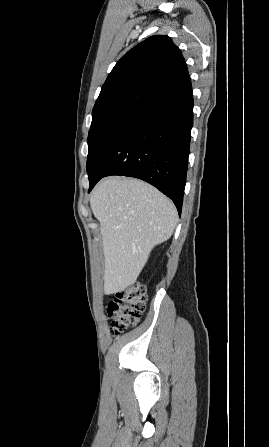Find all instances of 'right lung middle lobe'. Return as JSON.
Instances as JSON below:
<instances>
[{
  "mask_svg": "<svg viewBox=\"0 0 269 447\" xmlns=\"http://www.w3.org/2000/svg\"><path fill=\"white\" fill-rule=\"evenodd\" d=\"M142 106H123L92 118L88 135L87 171L123 122Z\"/></svg>",
  "mask_w": 269,
  "mask_h": 447,
  "instance_id": "1",
  "label": "right lung middle lobe"
}]
</instances>
